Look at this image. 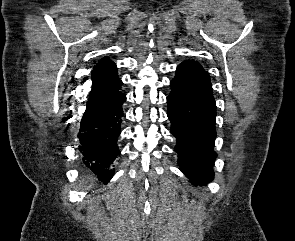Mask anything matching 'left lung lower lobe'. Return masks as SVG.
<instances>
[{
    "label": "left lung lower lobe",
    "mask_w": 295,
    "mask_h": 241,
    "mask_svg": "<svg viewBox=\"0 0 295 241\" xmlns=\"http://www.w3.org/2000/svg\"><path fill=\"white\" fill-rule=\"evenodd\" d=\"M170 86L167 115L177 141L174 150L178 164L192 183L204 185L213 179L212 166L217 156L214 97L179 75L171 80Z\"/></svg>",
    "instance_id": "1"
}]
</instances>
